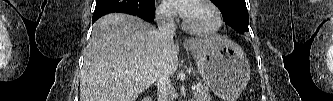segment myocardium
<instances>
[{
	"mask_svg": "<svg viewBox=\"0 0 333 101\" xmlns=\"http://www.w3.org/2000/svg\"><path fill=\"white\" fill-rule=\"evenodd\" d=\"M193 2L202 3V4L206 5V6H208L213 11V13L215 14L216 23L209 30H197V29L192 28L187 23L185 17L183 16L182 17V27H183V29L185 31L193 34V35H196V36H210V35H214L217 32H219L220 29L222 28V25H223V17H222V13L219 10V8L213 2H211L209 0H196V1H193Z\"/></svg>",
	"mask_w": 333,
	"mask_h": 101,
	"instance_id": "myocardium-1",
	"label": "myocardium"
}]
</instances>
